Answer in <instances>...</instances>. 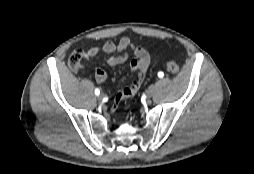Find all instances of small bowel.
I'll use <instances>...</instances> for the list:
<instances>
[{"mask_svg": "<svg viewBox=\"0 0 254 174\" xmlns=\"http://www.w3.org/2000/svg\"><path fill=\"white\" fill-rule=\"evenodd\" d=\"M128 51H132L135 56L130 61V68L136 75L130 84L118 91L113 109L117 107L120 101L133 97L138 92L150 64V55L144 48L135 46L128 37H123L118 42L107 41L103 45L94 46L85 51V58L87 59L96 57L99 54L110 55L107 59V63L110 66L125 63L128 59ZM106 78V72L102 68L97 67L95 69L96 81L103 83Z\"/></svg>", "mask_w": 254, "mask_h": 174, "instance_id": "obj_1", "label": "small bowel"}]
</instances>
